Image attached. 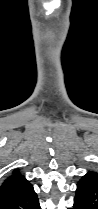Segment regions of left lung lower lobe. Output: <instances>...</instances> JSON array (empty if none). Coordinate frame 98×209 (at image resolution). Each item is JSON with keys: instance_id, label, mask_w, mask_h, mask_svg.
I'll return each mask as SVG.
<instances>
[{"instance_id": "0a47b994", "label": "left lung lower lobe", "mask_w": 98, "mask_h": 209, "mask_svg": "<svg viewBox=\"0 0 98 209\" xmlns=\"http://www.w3.org/2000/svg\"><path fill=\"white\" fill-rule=\"evenodd\" d=\"M71 209H98V180L82 177L77 183L74 205Z\"/></svg>"}]
</instances>
